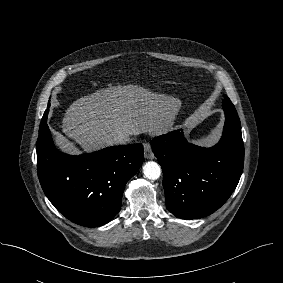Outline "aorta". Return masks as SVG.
<instances>
[{
    "label": "aorta",
    "mask_w": 283,
    "mask_h": 283,
    "mask_svg": "<svg viewBox=\"0 0 283 283\" xmlns=\"http://www.w3.org/2000/svg\"><path fill=\"white\" fill-rule=\"evenodd\" d=\"M144 176L150 180H156L161 175V168L158 163L154 161H148L143 166Z\"/></svg>",
    "instance_id": "aorta-1"
}]
</instances>
